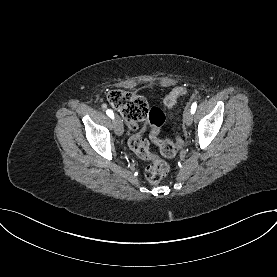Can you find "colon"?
I'll list each match as a JSON object with an SVG mask.
<instances>
[{
    "label": "colon",
    "mask_w": 277,
    "mask_h": 277,
    "mask_svg": "<svg viewBox=\"0 0 277 277\" xmlns=\"http://www.w3.org/2000/svg\"><path fill=\"white\" fill-rule=\"evenodd\" d=\"M186 92L187 90L184 87L173 89L165 98L167 108L172 109L178 98ZM107 101L114 109L121 112L132 129H136L140 122L148 123L151 127L150 139L158 145L163 156L171 158L176 155L182 146V139L179 136L175 141L159 138L160 128L165 120V116L160 109L149 108L142 96L123 90L110 91L107 94ZM129 146L137 156L150 161L145 170V177L150 183L156 184L168 174V164L150 152L147 140L140 134L136 133L130 137Z\"/></svg>",
    "instance_id": "colon-1"
}]
</instances>
